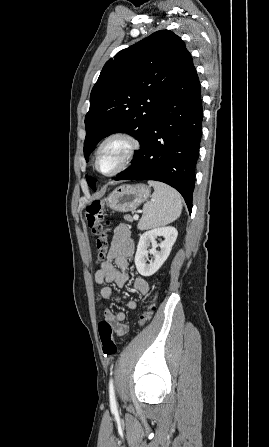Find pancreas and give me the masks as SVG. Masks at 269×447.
I'll return each instance as SVG.
<instances>
[{
	"label": "pancreas",
	"mask_w": 269,
	"mask_h": 447,
	"mask_svg": "<svg viewBox=\"0 0 269 447\" xmlns=\"http://www.w3.org/2000/svg\"><path fill=\"white\" fill-rule=\"evenodd\" d=\"M124 220H127V222H133L131 216H124Z\"/></svg>",
	"instance_id": "pancreas-1"
}]
</instances>
